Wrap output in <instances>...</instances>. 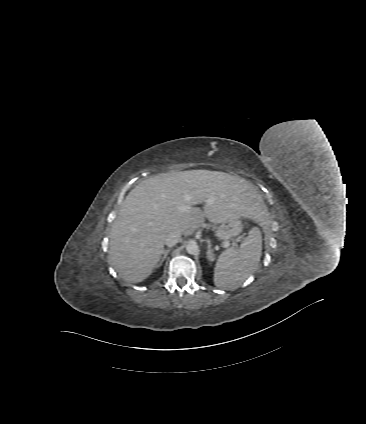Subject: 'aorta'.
<instances>
[{"mask_svg": "<svg viewBox=\"0 0 366 424\" xmlns=\"http://www.w3.org/2000/svg\"><path fill=\"white\" fill-rule=\"evenodd\" d=\"M186 251L191 255H197L199 253V246L195 241H190L186 246Z\"/></svg>", "mask_w": 366, "mask_h": 424, "instance_id": "obj_1", "label": "aorta"}]
</instances>
